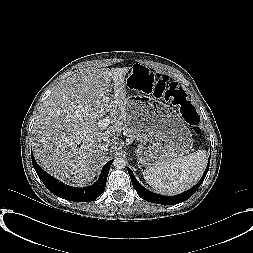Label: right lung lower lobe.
Returning a JSON list of instances; mask_svg holds the SVG:
<instances>
[{
    "label": "right lung lower lobe",
    "mask_w": 253,
    "mask_h": 253,
    "mask_svg": "<svg viewBox=\"0 0 253 253\" xmlns=\"http://www.w3.org/2000/svg\"><path fill=\"white\" fill-rule=\"evenodd\" d=\"M31 157L34 169L44 185L56 196L76 202H90L103 193L109 169L113 162V160H111L104 165L96 183L84 188H74L59 182L57 179L46 173L36 163L33 154H31Z\"/></svg>",
    "instance_id": "1"
}]
</instances>
